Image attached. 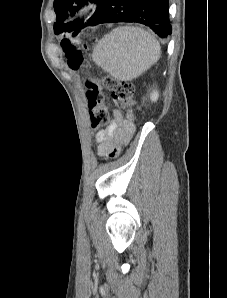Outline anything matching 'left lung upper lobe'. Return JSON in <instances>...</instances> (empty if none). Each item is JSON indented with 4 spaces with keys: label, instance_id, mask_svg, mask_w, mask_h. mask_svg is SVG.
<instances>
[{
    "label": "left lung upper lobe",
    "instance_id": "left-lung-upper-lobe-1",
    "mask_svg": "<svg viewBox=\"0 0 227 298\" xmlns=\"http://www.w3.org/2000/svg\"><path fill=\"white\" fill-rule=\"evenodd\" d=\"M94 2L98 5L97 12L84 24L83 21L74 20L67 22L69 16H73L76 11L87 2ZM107 4V0H54V10L56 12V23L54 31L56 34L73 32L77 35L81 28L85 26H94L98 23L101 14Z\"/></svg>",
    "mask_w": 227,
    "mask_h": 298
}]
</instances>
